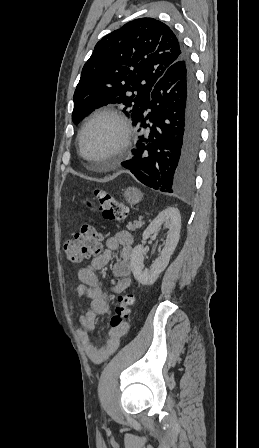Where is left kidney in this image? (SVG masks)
<instances>
[{"label":"left kidney","mask_w":259,"mask_h":448,"mask_svg":"<svg viewBox=\"0 0 259 448\" xmlns=\"http://www.w3.org/2000/svg\"><path fill=\"white\" fill-rule=\"evenodd\" d=\"M162 224H164L165 228H169L166 244L159 258L153 262L149 270L144 268L143 264L144 256L146 254L145 248H143V246H135L134 250H132L130 262L133 276L135 280H138L139 284H142V286H152V284L156 282L159 274L164 272L169 264L170 256H172L179 242V234L181 230V218L178 208H166V210H163V212L149 224L145 232H143V240H148L150 234H155V232L161 228Z\"/></svg>","instance_id":"obj_1"}]
</instances>
